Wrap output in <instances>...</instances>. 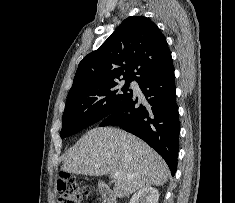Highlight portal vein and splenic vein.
Returning a JSON list of instances; mask_svg holds the SVG:
<instances>
[{
	"instance_id": "18ae733b",
	"label": "portal vein and splenic vein",
	"mask_w": 235,
	"mask_h": 203,
	"mask_svg": "<svg viewBox=\"0 0 235 203\" xmlns=\"http://www.w3.org/2000/svg\"><path fill=\"white\" fill-rule=\"evenodd\" d=\"M112 178H114V179H118V178H120L121 177V174L119 173V172H115V173H112Z\"/></svg>"
}]
</instances>
